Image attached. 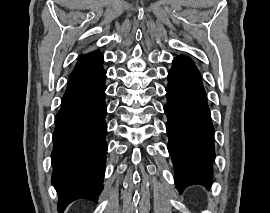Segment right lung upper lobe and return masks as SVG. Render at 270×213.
I'll return each mask as SVG.
<instances>
[{
  "label": "right lung upper lobe",
  "instance_id": "1",
  "mask_svg": "<svg viewBox=\"0 0 270 213\" xmlns=\"http://www.w3.org/2000/svg\"><path fill=\"white\" fill-rule=\"evenodd\" d=\"M103 56L97 50L94 52H90L88 54H84L79 57L78 62L70 74V77L76 76L78 74L96 70L102 67Z\"/></svg>",
  "mask_w": 270,
  "mask_h": 213
}]
</instances>
